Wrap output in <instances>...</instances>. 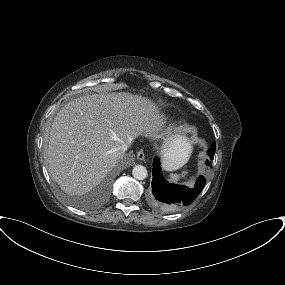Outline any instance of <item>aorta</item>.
<instances>
[{
  "label": "aorta",
  "instance_id": "762f6f07",
  "mask_svg": "<svg viewBox=\"0 0 285 285\" xmlns=\"http://www.w3.org/2000/svg\"><path fill=\"white\" fill-rule=\"evenodd\" d=\"M132 175L137 180H144L148 175V171L144 166L136 165L132 170Z\"/></svg>",
  "mask_w": 285,
  "mask_h": 285
}]
</instances>
